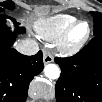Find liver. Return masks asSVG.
Returning <instances> with one entry per match:
<instances>
[{"label": "liver", "instance_id": "1", "mask_svg": "<svg viewBox=\"0 0 102 102\" xmlns=\"http://www.w3.org/2000/svg\"><path fill=\"white\" fill-rule=\"evenodd\" d=\"M36 14L39 15V16H43V15L47 14V12H46V7H45V6H41L40 8H38V9L36 10ZM19 42H21V40H18V41L16 42V45H17Z\"/></svg>", "mask_w": 102, "mask_h": 102}]
</instances>
